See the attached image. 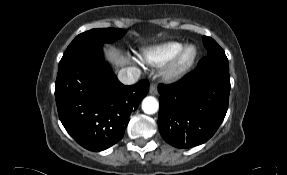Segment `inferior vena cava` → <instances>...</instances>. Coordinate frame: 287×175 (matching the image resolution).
Instances as JSON below:
<instances>
[{"label":"inferior vena cava","instance_id":"602c4592","mask_svg":"<svg viewBox=\"0 0 287 175\" xmlns=\"http://www.w3.org/2000/svg\"><path fill=\"white\" fill-rule=\"evenodd\" d=\"M141 74V70L136 67L122 68L118 73V79L120 82L126 85L134 84L138 81Z\"/></svg>","mask_w":287,"mask_h":175}]
</instances>
